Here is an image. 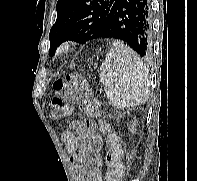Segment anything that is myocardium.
I'll list each match as a JSON object with an SVG mask.
<instances>
[{"mask_svg":"<svg viewBox=\"0 0 197 181\" xmlns=\"http://www.w3.org/2000/svg\"><path fill=\"white\" fill-rule=\"evenodd\" d=\"M75 48V42L73 40H65L63 41L57 48V55L60 57H65L69 55Z\"/></svg>","mask_w":197,"mask_h":181,"instance_id":"obj_1","label":"myocardium"}]
</instances>
